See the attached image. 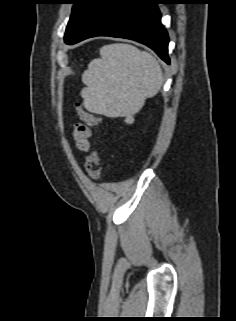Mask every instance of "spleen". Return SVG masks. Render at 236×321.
<instances>
[{
    "mask_svg": "<svg viewBox=\"0 0 236 321\" xmlns=\"http://www.w3.org/2000/svg\"><path fill=\"white\" fill-rule=\"evenodd\" d=\"M100 59L92 60L82 75L84 107L108 117L135 114L145 99L155 96L162 85L156 59L127 44H111L100 49Z\"/></svg>",
    "mask_w": 236,
    "mask_h": 321,
    "instance_id": "obj_1",
    "label": "spleen"
}]
</instances>
